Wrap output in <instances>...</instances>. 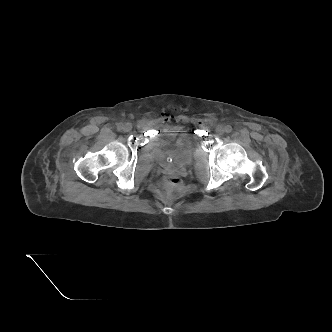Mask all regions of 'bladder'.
<instances>
[{
  "mask_svg": "<svg viewBox=\"0 0 332 332\" xmlns=\"http://www.w3.org/2000/svg\"><path fill=\"white\" fill-rule=\"evenodd\" d=\"M149 149L155 154L159 164H168L167 159H172L174 163L179 165L187 164L195 149L194 134L185 133L175 145H167L158 138L150 140Z\"/></svg>",
  "mask_w": 332,
  "mask_h": 332,
  "instance_id": "31cf9c89",
  "label": "bladder"
}]
</instances>
